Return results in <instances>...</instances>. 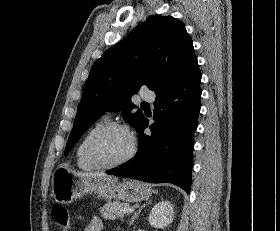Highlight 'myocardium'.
Listing matches in <instances>:
<instances>
[{"label":"myocardium","mask_w":280,"mask_h":231,"mask_svg":"<svg viewBox=\"0 0 280 231\" xmlns=\"http://www.w3.org/2000/svg\"><path fill=\"white\" fill-rule=\"evenodd\" d=\"M111 130H120L123 131L129 139V148L127 152L121 157L119 160L111 162V163H100L98 162L93 154V149L98 142V140L104 136L106 133H108ZM135 154V144L132 140V138L129 135L128 128L120 123L117 122H110L101 127L97 132H95L91 138L89 139L86 149H85V157L88 160V162L96 167L97 169H110L122 166L129 162Z\"/></svg>","instance_id":"f54148a6"}]
</instances>
